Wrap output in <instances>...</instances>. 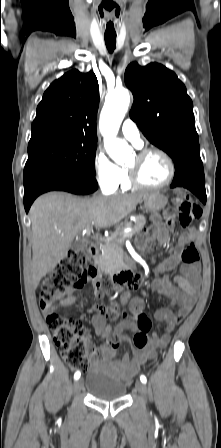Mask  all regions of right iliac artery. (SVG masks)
Listing matches in <instances>:
<instances>
[{
  "mask_svg": "<svg viewBox=\"0 0 221 448\" xmlns=\"http://www.w3.org/2000/svg\"><path fill=\"white\" fill-rule=\"evenodd\" d=\"M81 373L79 371L75 372L74 379L77 380L80 378Z\"/></svg>",
  "mask_w": 221,
  "mask_h": 448,
  "instance_id": "1",
  "label": "right iliac artery"
}]
</instances>
